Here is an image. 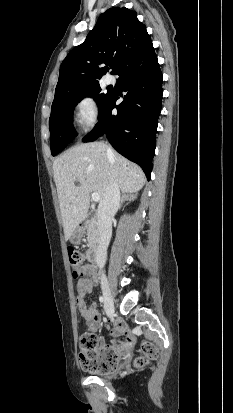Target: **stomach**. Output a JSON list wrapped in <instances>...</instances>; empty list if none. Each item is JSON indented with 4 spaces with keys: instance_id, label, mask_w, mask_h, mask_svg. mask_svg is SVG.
Returning a JSON list of instances; mask_svg holds the SVG:
<instances>
[{
    "instance_id": "stomach-1",
    "label": "stomach",
    "mask_w": 233,
    "mask_h": 413,
    "mask_svg": "<svg viewBox=\"0 0 233 413\" xmlns=\"http://www.w3.org/2000/svg\"><path fill=\"white\" fill-rule=\"evenodd\" d=\"M84 236V229L82 227H77L71 237H70V242L73 244H79Z\"/></svg>"
}]
</instances>
